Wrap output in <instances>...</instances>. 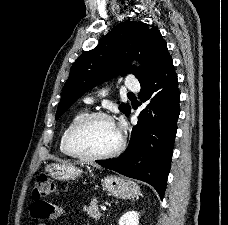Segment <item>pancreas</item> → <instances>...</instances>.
Segmentation results:
<instances>
[{
  "instance_id": "cf45deb5",
  "label": "pancreas",
  "mask_w": 228,
  "mask_h": 225,
  "mask_svg": "<svg viewBox=\"0 0 228 225\" xmlns=\"http://www.w3.org/2000/svg\"><path fill=\"white\" fill-rule=\"evenodd\" d=\"M98 201L96 199H91V203H89L90 207H83V211L89 215V217H92V219H95V221H99L101 217V213L98 209L99 205H97Z\"/></svg>"
}]
</instances>
